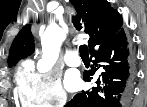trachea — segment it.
<instances>
[{
  "instance_id": "1",
  "label": "trachea",
  "mask_w": 147,
  "mask_h": 107,
  "mask_svg": "<svg viewBox=\"0 0 147 107\" xmlns=\"http://www.w3.org/2000/svg\"><path fill=\"white\" fill-rule=\"evenodd\" d=\"M72 23L74 24L75 28L77 30H81L82 29V26H81V23H80V19H76V18H72ZM79 52H80V56L81 57H88L89 54H88V47L87 45L83 44L79 47Z\"/></svg>"
}]
</instances>
